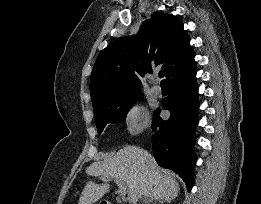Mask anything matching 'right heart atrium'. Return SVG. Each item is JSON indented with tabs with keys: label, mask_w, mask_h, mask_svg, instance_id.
Returning <instances> with one entry per match:
<instances>
[{
	"label": "right heart atrium",
	"mask_w": 261,
	"mask_h": 204,
	"mask_svg": "<svg viewBox=\"0 0 261 204\" xmlns=\"http://www.w3.org/2000/svg\"><path fill=\"white\" fill-rule=\"evenodd\" d=\"M125 133L136 136L146 127V117L142 105L138 102L130 104L124 112Z\"/></svg>",
	"instance_id": "obj_1"
}]
</instances>
